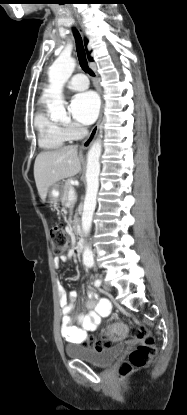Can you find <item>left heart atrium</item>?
Wrapping results in <instances>:
<instances>
[{
	"label": "left heart atrium",
	"mask_w": 187,
	"mask_h": 415,
	"mask_svg": "<svg viewBox=\"0 0 187 415\" xmlns=\"http://www.w3.org/2000/svg\"><path fill=\"white\" fill-rule=\"evenodd\" d=\"M100 101L93 91H86L75 95L70 105L72 116L81 124L89 125L98 116Z\"/></svg>",
	"instance_id": "39dd6f15"
}]
</instances>
